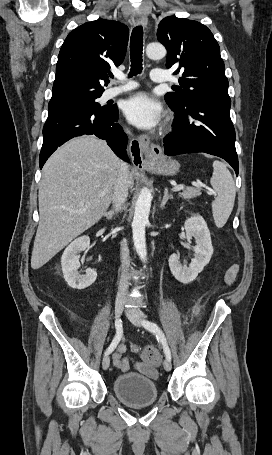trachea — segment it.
Returning a JSON list of instances; mask_svg holds the SVG:
<instances>
[{
  "label": "trachea",
  "instance_id": "obj_1",
  "mask_svg": "<svg viewBox=\"0 0 272 455\" xmlns=\"http://www.w3.org/2000/svg\"><path fill=\"white\" fill-rule=\"evenodd\" d=\"M142 53H143V28L141 25L136 26L130 38V57L131 69L129 77L135 76L142 72Z\"/></svg>",
  "mask_w": 272,
  "mask_h": 455
}]
</instances>
